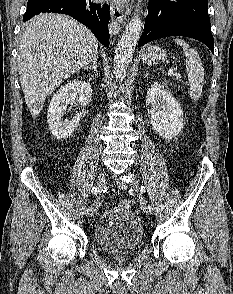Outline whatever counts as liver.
I'll list each match as a JSON object with an SVG mask.
<instances>
[{
	"label": "liver",
	"instance_id": "1",
	"mask_svg": "<svg viewBox=\"0 0 233 294\" xmlns=\"http://www.w3.org/2000/svg\"><path fill=\"white\" fill-rule=\"evenodd\" d=\"M98 40L66 15L43 13L25 29L18 51V70L26 105L36 118L46 97L98 53Z\"/></svg>",
	"mask_w": 233,
	"mask_h": 294
}]
</instances>
